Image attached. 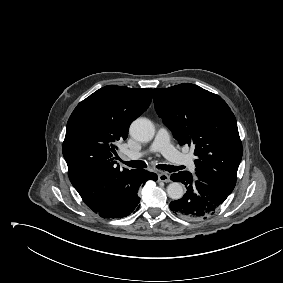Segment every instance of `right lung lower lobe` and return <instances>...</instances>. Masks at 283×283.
<instances>
[{
    "label": "right lung lower lobe",
    "mask_w": 283,
    "mask_h": 283,
    "mask_svg": "<svg viewBox=\"0 0 283 283\" xmlns=\"http://www.w3.org/2000/svg\"><path fill=\"white\" fill-rule=\"evenodd\" d=\"M158 179L155 173L146 170H136L134 173L133 185L131 186L130 193L112 205L97 211L101 217L104 218H122L131 214L134 210L139 208L138 204L140 198L137 195L139 186L146 180Z\"/></svg>",
    "instance_id": "obj_1"
}]
</instances>
